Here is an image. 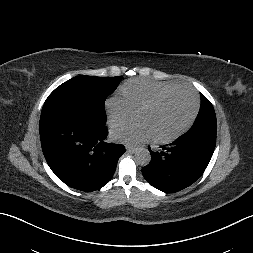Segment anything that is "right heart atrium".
Listing matches in <instances>:
<instances>
[{
    "instance_id": "right-heart-atrium-1",
    "label": "right heart atrium",
    "mask_w": 253,
    "mask_h": 253,
    "mask_svg": "<svg viewBox=\"0 0 253 253\" xmlns=\"http://www.w3.org/2000/svg\"><path fill=\"white\" fill-rule=\"evenodd\" d=\"M105 109L110 125L125 123L133 114L131 106L120 96L108 98L105 102Z\"/></svg>"
}]
</instances>
